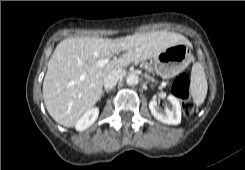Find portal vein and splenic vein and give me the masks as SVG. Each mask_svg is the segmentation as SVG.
<instances>
[{
	"mask_svg": "<svg viewBox=\"0 0 245 170\" xmlns=\"http://www.w3.org/2000/svg\"><path fill=\"white\" fill-rule=\"evenodd\" d=\"M109 58H104V59H101L97 62V66L98 67H103L105 66L108 62H109Z\"/></svg>",
	"mask_w": 245,
	"mask_h": 170,
	"instance_id": "portal-vein-and-splenic-vein-1",
	"label": "portal vein and splenic vein"
}]
</instances>
